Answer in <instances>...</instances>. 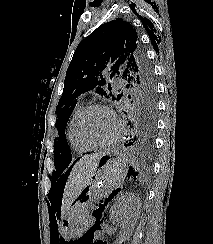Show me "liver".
Returning a JSON list of instances; mask_svg holds the SVG:
<instances>
[{"instance_id": "1", "label": "liver", "mask_w": 213, "mask_h": 244, "mask_svg": "<svg viewBox=\"0 0 213 244\" xmlns=\"http://www.w3.org/2000/svg\"><path fill=\"white\" fill-rule=\"evenodd\" d=\"M104 154L105 152H98L85 155L73 166L63 193L62 218L74 199L90 183L98 167V161Z\"/></svg>"}]
</instances>
